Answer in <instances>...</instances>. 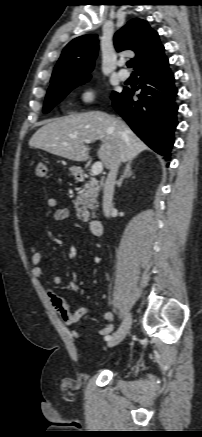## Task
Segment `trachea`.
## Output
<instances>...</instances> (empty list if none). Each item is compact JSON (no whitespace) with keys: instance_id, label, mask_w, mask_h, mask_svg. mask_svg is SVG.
<instances>
[{"instance_id":"1","label":"trachea","mask_w":202,"mask_h":437,"mask_svg":"<svg viewBox=\"0 0 202 437\" xmlns=\"http://www.w3.org/2000/svg\"><path fill=\"white\" fill-rule=\"evenodd\" d=\"M127 67H128V68H131V67H132V62H131V61H128V62H127Z\"/></svg>"}]
</instances>
